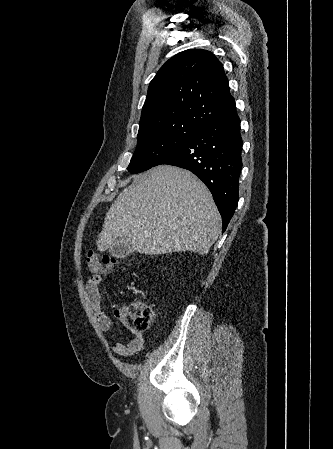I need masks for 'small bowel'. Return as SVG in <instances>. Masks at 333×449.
Returning <instances> with one entry per match:
<instances>
[{
	"label": "small bowel",
	"mask_w": 333,
	"mask_h": 449,
	"mask_svg": "<svg viewBox=\"0 0 333 449\" xmlns=\"http://www.w3.org/2000/svg\"><path fill=\"white\" fill-rule=\"evenodd\" d=\"M102 283V275L97 273L92 275L86 283V293L90 308L92 309L98 327L102 332H108L111 328V319L104 312L101 306L100 285ZM114 315L119 320L125 322L127 317V308H119L115 310ZM133 338L128 343L115 342L112 345V351L117 355L129 357L139 353L145 346V334L143 331H137L129 328Z\"/></svg>",
	"instance_id": "1"
}]
</instances>
